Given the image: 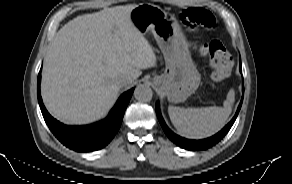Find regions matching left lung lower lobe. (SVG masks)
<instances>
[{"mask_svg": "<svg viewBox=\"0 0 292 184\" xmlns=\"http://www.w3.org/2000/svg\"><path fill=\"white\" fill-rule=\"evenodd\" d=\"M240 71L242 72L241 65H240ZM243 92H244V86H243ZM242 101H243V96H242V100L238 106L237 112H236L235 116L233 117V119L231 120V122L228 123L220 132H218L214 136L207 138V139H203V140H189V139H185V138L180 137V136L176 135L175 133H173L165 124V122L161 116L158 103L156 104V114H157L158 120H159L164 132L169 137V139L171 141H173L175 144H177L178 146H180L184 149H187V150H205L207 148L212 147L216 143H218L227 134V132L230 130V128L232 127L233 123L235 122V120L237 118V115H238L240 108H241V105H242Z\"/></svg>", "mask_w": 292, "mask_h": 184, "instance_id": "0a47b994", "label": "left lung lower lobe"}]
</instances>
